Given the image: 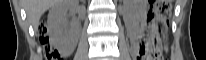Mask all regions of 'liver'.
Here are the masks:
<instances>
[{
    "label": "liver",
    "instance_id": "liver-1",
    "mask_svg": "<svg viewBox=\"0 0 206 60\" xmlns=\"http://www.w3.org/2000/svg\"><path fill=\"white\" fill-rule=\"evenodd\" d=\"M62 3V0H24L28 21L37 30L39 20L50 7Z\"/></svg>",
    "mask_w": 206,
    "mask_h": 60
}]
</instances>
